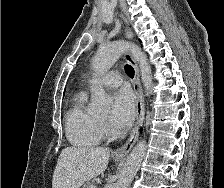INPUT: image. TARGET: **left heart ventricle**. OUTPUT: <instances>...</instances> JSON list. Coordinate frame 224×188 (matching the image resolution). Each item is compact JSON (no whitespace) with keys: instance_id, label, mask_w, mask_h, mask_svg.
Instances as JSON below:
<instances>
[{"instance_id":"1","label":"left heart ventricle","mask_w":224,"mask_h":188,"mask_svg":"<svg viewBox=\"0 0 224 188\" xmlns=\"http://www.w3.org/2000/svg\"><path fill=\"white\" fill-rule=\"evenodd\" d=\"M101 118H102V119H104V118H105V116H102Z\"/></svg>"}]
</instances>
